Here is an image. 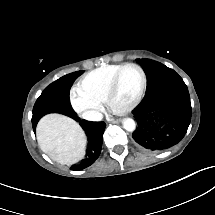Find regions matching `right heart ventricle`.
<instances>
[{
	"label": "right heart ventricle",
	"mask_w": 215,
	"mask_h": 215,
	"mask_svg": "<svg viewBox=\"0 0 215 215\" xmlns=\"http://www.w3.org/2000/svg\"><path fill=\"white\" fill-rule=\"evenodd\" d=\"M117 66L106 64L82 79L81 91L89 103H99L106 97L113 78L116 76Z\"/></svg>",
	"instance_id": "obj_1"
}]
</instances>
